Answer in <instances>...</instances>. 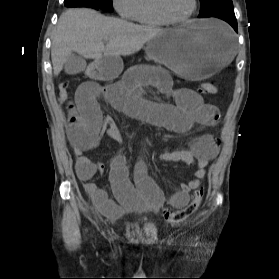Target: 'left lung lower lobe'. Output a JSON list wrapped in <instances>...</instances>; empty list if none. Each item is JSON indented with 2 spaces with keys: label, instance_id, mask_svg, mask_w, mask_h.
Here are the masks:
<instances>
[{
  "label": "left lung lower lobe",
  "instance_id": "0a47b994",
  "mask_svg": "<svg viewBox=\"0 0 279 279\" xmlns=\"http://www.w3.org/2000/svg\"><path fill=\"white\" fill-rule=\"evenodd\" d=\"M213 17L220 18V19L228 22L233 27V29L236 32H238V30H237V20H236L234 12L220 13V14H216Z\"/></svg>",
  "mask_w": 279,
  "mask_h": 279
}]
</instances>
